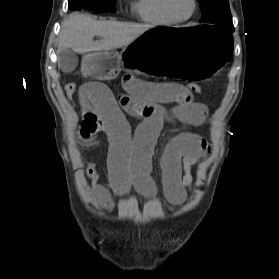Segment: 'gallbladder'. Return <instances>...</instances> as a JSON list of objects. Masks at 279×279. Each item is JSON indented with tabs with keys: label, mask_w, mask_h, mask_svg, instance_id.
I'll use <instances>...</instances> for the list:
<instances>
[{
	"label": "gallbladder",
	"mask_w": 279,
	"mask_h": 279,
	"mask_svg": "<svg viewBox=\"0 0 279 279\" xmlns=\"http://www.w3.org/2000/svg\"><path fill=\"white\" fill-rule=\"evenodd\" d=\"M58 59L59 65L64 73L73 72L78 65V57L71 49L61 51Z\"/></svg>",
	"instance_id": "gallbladder-1"
}]
</instances>
